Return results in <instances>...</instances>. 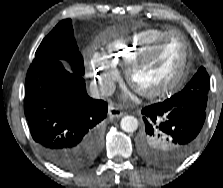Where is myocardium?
Returning a JSON list of instances; mask_svg holds the SVG:
<instances>
[{"mask_svg":"<svg viewBox=\"0 0 223 188\" xmlns=\"http://www.w3.org/2000/svg\"><path fill=\"white\" fill-rule=\"evenodd\" d=\"M172 36H179L182 39L184 45V54L177 72L169 80L154 88L146 89L138 86L135 82V73L142 67H144L151 59H153L160 50L163 43ZM190 51V43L184 34L176 30L168 31L163 34L160 38H158L148 48H146L136 60H134L131 64L126 67V80L134 90H136L139 94L146 98L152 99L161 97L177 89L183 82L189 67Z\"/></svg>","mask_w":223,"mask_h":188,"instance_id":"myocardium-1","label":"myocardium"}]
</instances>
